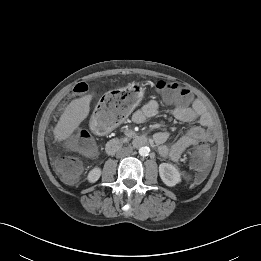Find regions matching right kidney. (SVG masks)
I'll return each instance as SVG.
<instances>
[{
    "instance_id": "1",
    "label": "right kidney",
    "mask_w": 261,
    "mask_h": 261,
    "mask_svg": "<svg viewBox=\"0 0 261 261\" xmlns=\"http://www.w3.org/2000/svg\"><path fill=\"white\" fill-rule=\"evenodd\" d=\"M100 176H101V169L95 167L88 173L87 178L90 183H94L100 178Z\"/></svg>"
}]
</instances>
